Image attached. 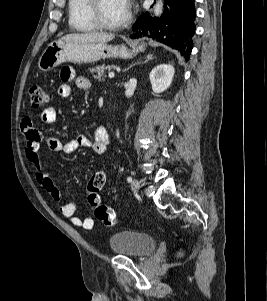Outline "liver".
Returning <instances> with one entry per match:
<instances>
[{
  "label": "liver",
  "mask_w": 267,
  "mask_h": 301,
  "mask_svg": "<svg viewBox=\"0 0 267 301\" xmlns=\"http://www.w3.org/2000/svg\"><path fill=\"white\" fill-rule=\"evenodd\" d=\"M114 39V35L106 33H83V34H67L60 40L74 42V43H91V42H108Z\"/></svg>",
  "instance_id": "obj_1"
}]
</instances>
